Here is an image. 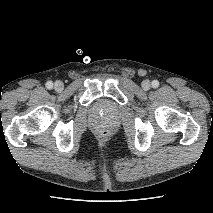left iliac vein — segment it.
Wrapping results in <instances>:
<instances>
[{"mask_svg": "<svg viewBox=\"0 0 213 213\" xmlns=\"http://www.w3.org/2000/svg\"><path fill=\"white\" fill-rule=\"evenodd\" d=\"M141 85H142V88L144 90H149V88H150V81L149 80H144Z\"/></svg>", "mask_w": 213, "mask_h": 213, "instance_id": "left-iliac-vein-1", "label": "left iliac vein"}]
</instances>
